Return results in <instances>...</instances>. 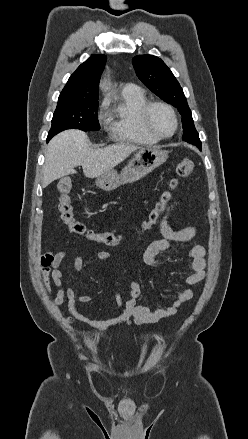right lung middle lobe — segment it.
Masks as SVG:
<instances>
[{
  "label": "right lung middle lobe",
  "instance_id": "right-lung-middle-lobe-1",
  "mask_svg": "<svg viewBox=\"0 0 248 439\" xmlns=\"http://www.w3.org/2000/svg\"><path fill=\"white\" fill-rule=\"evenodd\" d=\"M98 99H58L57 108L48 133L49 141L57 133L66 129L97 131L100 125L97 118Z\"/></svg>",
  "mask_w": 248,
  "mask_h": 439
}]
</instances>
